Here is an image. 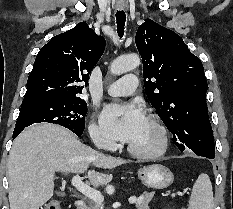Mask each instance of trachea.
I'll use <instances>...</instances> for the list:
<instances>
[{"label":"trachea","instance_id":"obj_1","mask_svg":"<svg viewBox=\"0 0 233 209\" xmlns=\"http://www.w3.org/2000/svg\"><path fill=\"white\" fill-rule=\"evenodd\" d=\"M116 20H117V33L119 37L122 38L124 35L125 21H126V15L123 10L117 11Z\"/></svg>","mask_w":233,"mask_h":209}]
</instances>
